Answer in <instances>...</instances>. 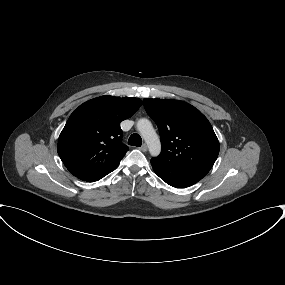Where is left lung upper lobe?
<instances>
[{"mask_svg": "<svg viewBox=\"0 0 285 285\" xmlns=\"http://www.w3.org/2000/svg\"><path fill=\"white\" fill-rule=\"evenodd\" d=\"M144 107L160 133L162 151L156 159L206 175L219 154V141L207 118L179 100L148 98Z\"/></svg>", "mask_w": 285, "mask_h": 285, "instance_id": "obj_1", "label": "left lung upper lobe"}]
</instances>
